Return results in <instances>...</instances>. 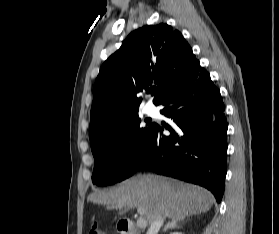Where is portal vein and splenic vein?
Returning a JSON list of instances; mask_svg holds the SVG:
<instances>
[{
    "label": "portal vein and splenic vein",
    "instance_id": "1",
    "mask_svg": "<svg viewBox=\"0 0 279 234\" xmlns=\"http://www.w3.org/2000/svg\"><path fill=\"white\" fill-rule=\"evenodd\" d=\"M137 211H138L139 214H144V211H143L142 208H137ZM146 225H147L146 219H144V218H139V219L137 220V226H138V227L144 228V227H146Z\"/></svg>",
    "mask_w": 279,
    "mask_h": 234
}]
</instances>
